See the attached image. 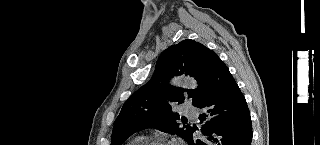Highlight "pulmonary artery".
Instances as JSON below:
<instances>
[{
  "mask_svg": "<svg viewBox=\"0 0 320 145\" xmlns=\"http://www.w3.org/2000/svg\"><path fill=\"white\" fill-rule=\"evenodd\" d=\"M185 114L188 118L196 120L198 118V111L195 107L186 108Z\"/></svg>",
  "mask_w": 320,
  "mask_h": 145,
  "instance_id": "obj_1",
  "label": "pulmonary artery"
}]
</instances>
